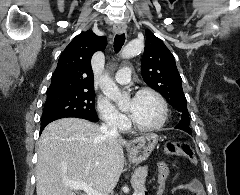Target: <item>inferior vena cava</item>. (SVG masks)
I'll list each match as a JSON object with an SVG mask.
<instances>
[{"mask_svg": "<svg viewBox=\"0 0 240 195\" xmlns=\"http://www.w3.org/2000/svg\"><path fill=\"white\" fill-rule=\"evenodd\" d=\"M100 131L104 137H118L119 135L117 125L112 119H106L105 123L101 125Z\"/></svg>", "mask_w": 240, "mask_h": 195, "instance_id": "obj_1", "label": "inferior vena cava"}]
</instances>
